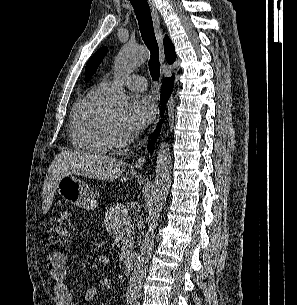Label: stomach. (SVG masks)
<instances>
[{"mask_svg":"<svg viewBox=\"0 0 297 305\" xmlns=\"http://www.w3.org/2000/svg\"><path fill=\"white\" fill-rule=\"evenodd\" d=\"M56 191L66 201L78 207L94 210L97 208V200L92 189L82 180L73 175L63 176Z\"/></svg>","mask_w":297,"mask_h":305,"instance_id":"obj_1","label":"stomach"}]
</instances>
